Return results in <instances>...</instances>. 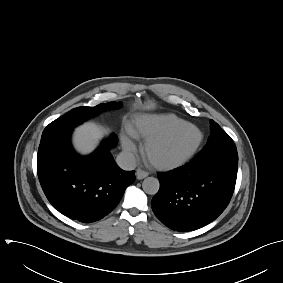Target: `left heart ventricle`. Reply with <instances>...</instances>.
Listing matches in <instances>:
<instances>
[{
  "instance_id": "left-heart-ventricle-1",
  "label": "left heart ventricle",
  "mask_w": 283,
  "mask_h": 283,
  "mask_svg": "<svg viewBox=\"0 0 283 283\" xmlns=\"http://www.w3.org/2000/svg\"><path fill=\"white\" fill-rule=\"evenodd\" d=\"M197 131L189 126L179 128L163 143L152 147L149 157L157 162H172L184 156L196 143Z\"/></svg>"
}]
</instances>
